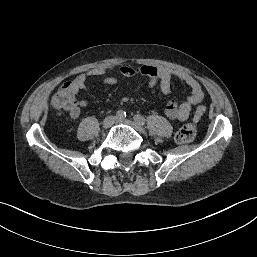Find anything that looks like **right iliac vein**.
<instances>
[{
	"label": "right iliac vein",
	"instance_id": "1",
	"mask_svg": "<svg viewBox=\"0 0 257 257\" xmlns=\"http://www.w3.org/2000/svg\"><path fill=\"white\" fill-rule=\"evenodd\" d=\"M115 122V118L112 116L106 117L102 123L104 129L110 128Z\"/></svg>",
	"mask_w": 257,
	"mask_h": 257
}]
</instances>
